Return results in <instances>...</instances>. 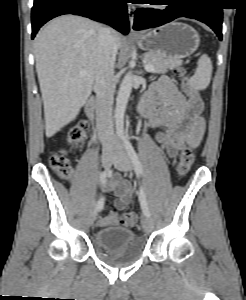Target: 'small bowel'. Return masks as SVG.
<instances>
[{
    "label": "small bowel",
    "instance_id": "small-bowel-1",
    "mask_svg": "<svg viewBox=\"0 0 246 300\" xmlns=\"http://www.w3.org/2000/svg\"><path fill=\"white\" fill-rule=\"evenodd\" d=\"M143 103L147 108L145 116L148 123L160 128L157 141L171 158L178 155L188 138H192L195 143L202 139L205 132V122L200 116L202 104L186 100L168 77L162 76L151 87ZM105 191L114 192L115 205L121 210L131 202L132 188L119 175L113 176ZM100 199L105 200L104 197ZM95 223L98 227L116 225L118 215L97 216Z\"/></svg>",
    "mask_w": 246,
    "mask_h": 300
}]
</instances>
